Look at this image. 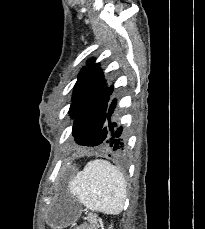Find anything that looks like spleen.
I'll return each instance as SVG.
<instances>
[{
  "mask_svg": "<svg viewBox=\"0 0 205 229\" xmlns=\"http://www.w3.org/2000/svg\"><path fill=\"white\" fill-rule=\"evenodd\" d=\"M69 190L86 208L105 214L122 212L127 194L123 174L101 159L88 162L70 181Z\"/></svg>",
  "mask_w": 205,
  "mask_h": 229,
  "instance_id": "1",
  "label": "spleen"
}]
</instances>
